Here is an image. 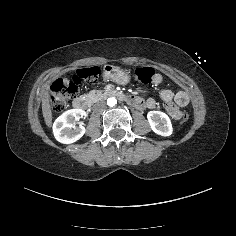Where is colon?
I'll list each match as a JSON object with an SVG mask.
<instances>
[{
    "mask_svg": "<svg viewBox=\"0 0 236 236\" xmlns=\"http://www.w3.org/2000/svg\"><path fill=\"white\" fill-rule=\"evenodd\" d=\"M100 71L101 69L97 66L82 68L67 78H59L55 80L51 86L50 92V103L52 109L56 112L63 111L67 107L68 101L77 94L79 85L82 82H95L100 74ZM133 77L138 82L146 84L153 81L155 72L152 68L141 67L135 69L133 72ZM188 119L189 114L187 112L181 114V122H186Z\"/></svg>",
    "mask_w": 236,
    "mask_h": 236,
    "instance_id": "colon-1",
    "label": "colon"
}]
</instances>
